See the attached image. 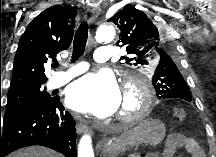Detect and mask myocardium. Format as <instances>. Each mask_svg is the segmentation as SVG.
Returning a JSON list of instances; mask_svg holds the SVG:
<instances>
[{"label": "myocardium", "instance_id": "myocardium-1", "mask_svg": "<svg viewBox=\"0 0 216 157\" xmlns=\"http://www.w3.org/2000/svg\"><path fill=\"white\" fill-rule=\"evenodd\" d=\"M131 93L137 100V106L128 113H120L117 116L118 121L126 125H134L142 120L150 111L153 105V90L140 77H129L124 83V95Z\"/></svg>", "mask_w": 216, "mask_h": 157}]
</instances>
